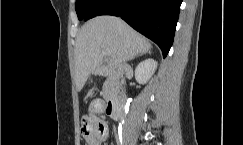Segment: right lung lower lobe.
Here are the masks:
<instances>
[{
	"label": "right lung lower lobe",
	"mask_w": 243,
	"mask_h": 145,
	"mask_svg": "<svg viewBox=\"0 0 243 145\" xmlns=\"http://www.w3.org/2000/svg\"><path fill=\"white\" fill-rule=\"evenodd\" d=\"M182 0H101L85 16H120L153 40L166 57L173 43Z\"/></svg>",
	"instance_id": "obj_1"
}]
</instances>
